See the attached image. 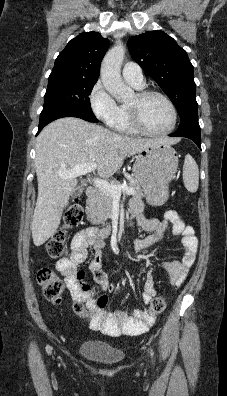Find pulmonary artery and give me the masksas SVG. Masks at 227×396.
<instances>
[{
  "label": "pulmonary artery",
  "mask_w": 227,
  "mask_h": 396,
  "mask_svg": "<svg viewBox=\"0 0 227 396\" xmlns=\"http://www.w3.org/2000/svg\"><path fill=\"white\" fill-rule=\"evenodd\" d=\"M122 75L125 81L136 88H140L144 85L142 69L135 62H127L123 67Z\"/></svg>",
  "instance_id": "pulmonary-artery-1"
}]
</instances>
